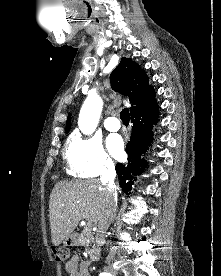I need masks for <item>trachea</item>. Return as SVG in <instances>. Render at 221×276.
<instances>
[{"label": "trachea", "mask_w": 221, "mask_h": 276, "mask_svg": "<svg viewBox=\"0 0 221 276\" xmlns=\"http://www.w3.org/2000/svg\"><path fill=\"white\" fill-rule=\"evenodd\" d=\"M120 118L123 122V124L128 125L130 120L129 110L128 108H124L120 113Z\"/></svg>", "instance_id": "1"}]
</instances>
